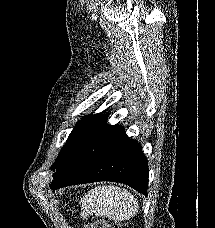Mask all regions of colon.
Returning a JSON list of instances; mask_svg holds the SVG:
<instances>
[{
  "label": "colon",
  "mask_w": 215,
  "mask_h": 228,
  "mask_svg": "<svg viewBox=\"0 0 215 228\" xmlns=\"http://www.w3.org/2000/svg\"><path fill=\"white\" fill-rule=\"evenodd\" d=\"M85 228H119V225L113 218L104 217L97 221L95 225H85Z\"/></svg>",
  "instance_id": "colon-1"
}]
</instances>
